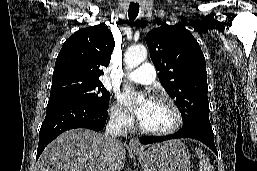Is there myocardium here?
<instances>
[{"instance_id":"myocardium-1","label":"myocardium","mask_w":257,"mask_h":171,"mask_svg":"<svg viewBox=\"0 0 257 171\" xmlns=\"http://www.w3.org/2000/svg\"><path fill=\"white\" fill-rule=\"evenodd\" d=\"M154 102L166 104L171 108V110L173 111L174 116H175V121H174L173 125L170 126L169 128L163 129V130H155V129L146 128L139 121L138 122L139 129L143 133H146L149 135H154V136H167V135H171V134L175 133L176 131H178L183 123V116H182V113H181L179 107L177 106V104L171 98L165 97V96L157 97L154 100Z\"/></svg>"}]
</instances>
